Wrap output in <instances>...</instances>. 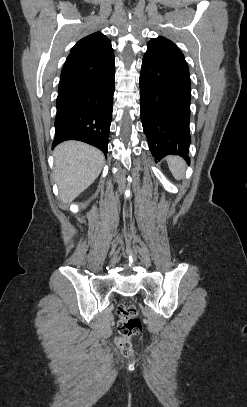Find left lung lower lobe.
Returning <instances> with one entry per match:
<instances>
[{
	"instance_id": "1",
	"label": "left lung lower lobe",
	"mask_w": 247,
	"mask_h": 407,
	"mask_svg": "<svg viewBox=\"0 0 247 407\" xmlns=\"http://www.w3.org/2000/svg\"><path fill=\"white\" fill-rule=\"evenodd\" d=\"M140 116L152 155L189 162L190 77L186 62L146 52L140 73Z\"/></svg>"
}]
</instances>
